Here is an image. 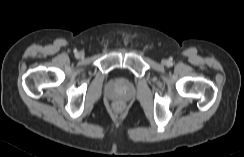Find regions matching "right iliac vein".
I'll list each match as a JSON object with an SVG mask.
<instances>
[{"label":"right iliac vein","instance_id":"right-iliac-vein-1","mask_svg":"<svg viewBox=\"0 0 244 157\" xmlns=\"http://www.w3.org/2000/svg\"><path fill=\"white\" fill-rule=\"evenodd\" d=\"M81 55H82L81 53H77V54H76V57L80 58Z\"/></svg>","mask_w":244,"mask_h":157}]
</instances>
